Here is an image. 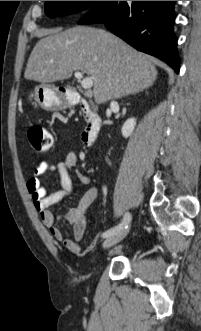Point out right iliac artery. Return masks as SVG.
<instances>
[{"label":"right iliac artery","instance_id":"82829eb1","mask_svg":"<svg viewBox=\"0 0 201 331\" xmlns=\"http://www.w3.org/2000/svg\"><path fill=\"white\" fill-rule=\"evenodd\" d=\"M130 221H131V214L129 212H127L124 215L123 221L119 225L115 226L114 228H111V229L105 231L102 234V237L107 238V237L115 234L116 232L120 231L121 229L127 228Z\"/></svg>","mask_w":201,"mask_h":331}]
</instances>
